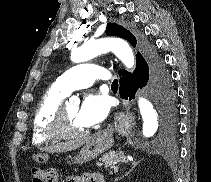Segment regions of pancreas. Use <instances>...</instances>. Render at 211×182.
Listing matches in <instances>:
<instances>
[{
  "mask_svg": "<svg viewBox=\"0 0 211 182\" xmlns=\"http://www.w3.org/2000/svg\"><path fill=\"white\" fill-rule=\"evenodd\" d=\"M125 161V156L118 155L114 151H109L108 153L104 154L100 159L97 165L99 167H104V168H113L117 163Z\"/></svg>",
  "mask_w": 211,
  "mask_h": 182,
  "instance_id": "cf45deb5",
  "label": "pancreas"
}]
</instances>
